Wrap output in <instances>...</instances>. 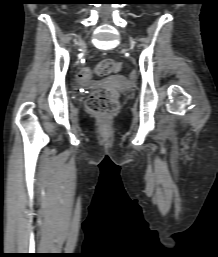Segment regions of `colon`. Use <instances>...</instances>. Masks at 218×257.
<instances>
[{"label": "colon", "mask_w": 218, "mask_h": 257, "mask_svg": "<svg viewBox=\"0 0 218 257\" xmlns=\"http://www.w3.org/2000/svg\"><path fill=\"white\" fill-rule=\"evenodd\" d=\"M163 7H168V2L162 3ZM122 61H116L114 59H105L101 61L94 70L90 67L78 68L77 81L78 85L83 87H92V75L95 73L99 76H105L113 72H118L121 69ZM90 73V74H88ZM135 74H128V79H135ZM86 107L88 111L101 119H107L115 114L119 108V96L118 93L108 87H100L93 91L86 101Z\"/></svg>", "instance_id": "obj_1"}]
</instances>
